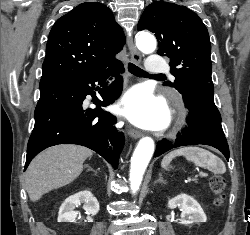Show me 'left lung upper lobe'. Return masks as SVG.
<instances>
[{
	"label": "left lung upper lobe",
	"instance_id": "1",
	"mask_svg": "<svg viewBox=\"0 0 250 235\" xmlns=\"http://www.w3.org/2000/svg\"><path fill=\"white\" fill-rule=\"evenodd\" d=\"M137 28L155 33L157 53L170 58L175 80L166 84L181 93L193 84L212 83L209 34L196 13L185 6L157 2L145 8Z\"/></svg>",
	"mask_w": 250,
	"mask_h": 235
}]
</instances>
